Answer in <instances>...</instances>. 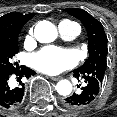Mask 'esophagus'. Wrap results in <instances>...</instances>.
Masks as SVG:
<instances>
[{
    "mask_svg": "<svg viewBox=\"0 0 117 117\" xmlns=\"http://www.w3.org/2000/svg\"><path fill=\"white\" fill-rule=\"evenodd\" d=\"M50 78H51V80H53V81H58V80L61 79L60 77H57V76H51Z\"/></svg>",
    "mask_w": 117,
    "mask_h": 117,
    "instance_id": "34e87169",
    "label": "esophagus"
}]
</instances>
